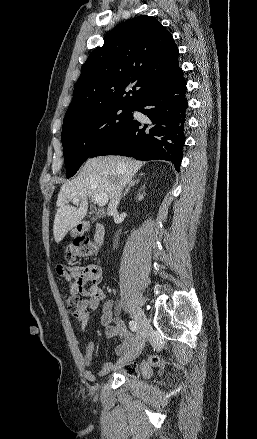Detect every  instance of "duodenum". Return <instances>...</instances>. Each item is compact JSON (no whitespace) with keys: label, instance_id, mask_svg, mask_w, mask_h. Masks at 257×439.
I'll list each match as a JSON object with an SVG mask.
<instances>
[{"label":"duodenum","instance_id":"duodenum-1","mask_svg":"<svg viewBox=\"0 0 257 439\" xmlns=\"http://www.w3.org/2000/svg\"><path fill=\"white\" fill-rule=\"evenodd\" d=\"M86 228H87V223L83 222L80 225L79 230L85 231ZM103 240H104V228L101 225H97L94 231V241L97 245L100 246L103 243Z\"/></svg>","mask_w":257,"mask_h":439}]
</instances>
